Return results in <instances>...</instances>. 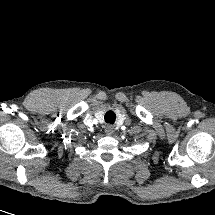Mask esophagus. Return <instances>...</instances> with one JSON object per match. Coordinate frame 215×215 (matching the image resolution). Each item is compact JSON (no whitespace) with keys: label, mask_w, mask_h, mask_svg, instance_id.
Wrapping results in <instances>:
<instances>
[{"label":"esophagus","mask_w":215,"mask_h":215,"mask_svg":"<svg viewBox=\"0 0 215 215\" xmlns=\"http://www.w3.org/2000/svg\"><path fill=\"white\" fill-rule=\"evenodd\" d=\"M105 132H106V134H108V135L113 134V132H114L113 126H111V125L106 126Z\"/></svg>","instance_id":"1"}]
</instances>
